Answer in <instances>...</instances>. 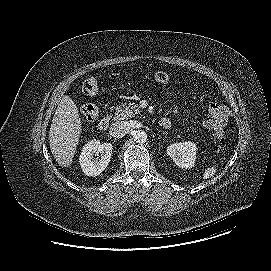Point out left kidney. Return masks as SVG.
<instances>
[{
  "label": "left kidney",
  "instance_id": "left-kidney-1",
  "mask_svg": "<svg viewBox=\"0 0 271 271\" xmlns=\"http://www.w3.org/2000/svg\"><path fill=\"white\" fill-rule=\"evenodd\" d=\"M196 144L190 141L183 143H174L167 148V154L172 158L175 164L180 168H191L196 159Z\"/></svg>",
  "mask_w": 271,
  "mask_h": 271
}]
</instances>
